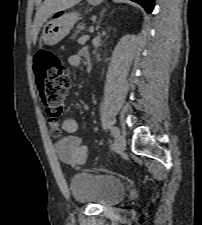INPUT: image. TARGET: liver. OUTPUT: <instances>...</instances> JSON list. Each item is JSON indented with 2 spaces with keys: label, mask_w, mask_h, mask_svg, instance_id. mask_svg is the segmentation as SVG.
<instances>
[{
  "label": "liver",
  "mask_w": 202,
  "mask_h": 225,
  "mask_svg": "<svg viewBox=\"0 0 202 225\" xmlns=\"http://www.w3.org/2000/svg\"><path fill=\"white\" fill-rule=\"evenodd\" d=\"M81 0H45L37 9L34 24L32 27L33 43L37 40L40 28L47 22L51 15L61 10L69 9L77 5Z\"/></svg>",
  "instance_id": "obj_1"
}]
</instances>
